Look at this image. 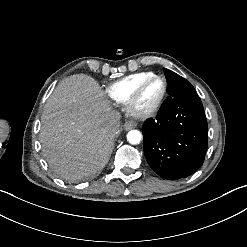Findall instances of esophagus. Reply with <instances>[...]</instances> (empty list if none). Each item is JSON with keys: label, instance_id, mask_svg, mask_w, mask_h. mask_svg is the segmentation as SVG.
<instances>
[{"label": "esophagus", "instance_id": "34e87169", "mask_svg": "<svg viewBox=\"0 0 247 247\" xmlns=\"http://www.w3.org/2000/svg\"><path fill=\"white\" fill-rule=\"evenodd\" d=\"M136 126H137V123L134 122V121H126V122L124 123V129H125L126 131L133 129V128H135Z\"/></svg>", "mask_w": 247, "mask_h": 247}]
</instances>
